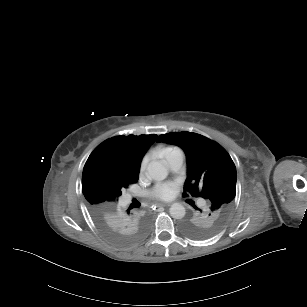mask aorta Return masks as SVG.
I'll return each mask as SVG.
<instances>
[{"mask_svg": "<svg viewBox=\"0 0 307 307\" xmlns=\"http://www.w3.org/2000/svg\"><path fill=\"white\" fill-rule=\"evenodd\" d=\"M166 160L151 161L147 166V176L155 181H162L168 176ZM170 215L175 219H182L186 210L180 203H173L169 209Z\"/></svg>", "mask_w": 307, "mask_h": 307, "instance_id": "1", "label": "aorta"}]
</instances>
